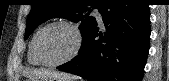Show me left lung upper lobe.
I'll list each match as a JSON object with an SVG mask.
<instances>
[{"instance_id":"5c2ea615","label":"left lung upper lobe","mask_w":169,"mask_h":81,"mask_svg":"<svg viewBox=\"0 0 169 81\" xmlns=\"http://www.w3.org/2000/svg\"><path fill=\"white\" fill-rule=\"evenodd\" d=\"M104 0H32V8L27 18L25 39L42 22L54 18L63 17L73 22H79L82 38L84 39L89 31L96 24L94 17L84 12L91 8H99Z\"/></svg>"}]
</instances>
